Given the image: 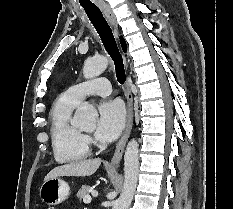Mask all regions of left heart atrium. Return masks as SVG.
I'll return each instance as SVG.
<instances>
[{
	"mask_svg": "<svg viewBox=\"0 0 233 209\" xmlns=\"http://www.w3.org/2000/svg\"><path fill=\"white\" fill-rule=\"evenodd\" d=\"M98 121L95 136L103 142L116 139L123 129L125 123L124 107L119 101H104L98 108Z\"/></svg>",
	"mask_w": 233,
	"mask_h": 209,
	"instance_id": "obj_1",
	"label": "left heart atrium"
}]
</instances>
